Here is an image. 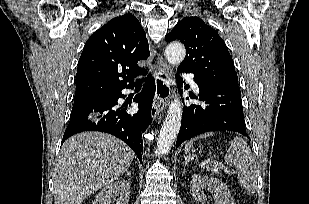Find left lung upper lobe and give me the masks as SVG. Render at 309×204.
Wrapping results in <instances>:
<instances>
[{
	"instance_id": "left-lung-upper-lobe-1",
	"label": "left lung upper lobe",
	"mask_w": 309,
	"mask_h": 204,
	"mask_svg": "<svg viewBox=\"0 0 309 204\" xmlns=\"http://www.w3.org/2000/svg\"><path fill=\"white\" fill-rule=\"evenodd\" d=\"M179 40L186 57L179 69L218 83L238 86V77L228 49L218 33L198 17H185L165 36Z\"/></svg>"
}]
</instances>
